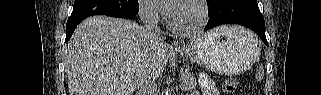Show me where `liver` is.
<instances>
[{"label": "liver", "instance_id": "6515ba94", "mask_svg": "<svg viewBox=\"0 0 321 95\" xmlns=\"http://www.w3.org/2000/svg\"><path fill=\"white\" fill-rule=\"evenodd\" d=\"M64 54L69 95H132L144 73L158 78L169 60L164 41L131 20L107 16L82 21Z\"/></svg>", "mask_w": 321, "mask_h": 95}]
</instances>
